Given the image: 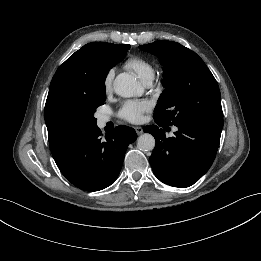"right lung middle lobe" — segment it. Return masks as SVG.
Segmentation results:
<instances>
[{
  "label": "right lung middle lobe",
  "mask_w": 261,
  "mask_h": 261,
  "mask_svg": "<svg viewBox=\"0 0 261 261\" xmlns=\"http://www.w3.org/2000/svg\"><path fill=\"white\" fill-rule=\"evenodd\" d=\"M129 48L130 45H122L117 56L101 62L97 70L99 83L91 96L65 103L58 108L54 118V135L59 146H69L97 127L93 114L106 100V76L109 70L125 57Z\"/></svg>",
  "instance_id": "right-lung-middle-lobe-1"
}]
</instances>
